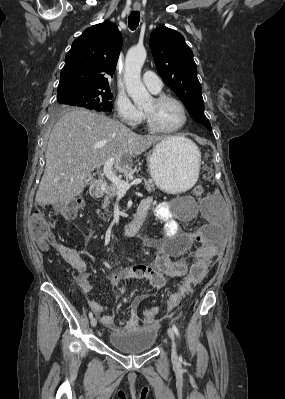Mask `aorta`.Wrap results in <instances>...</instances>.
<instances>
[{"label": "aorta", "mask_w": 285, "mask_h": 399, "mask_svg": "<svg viewBox=\"0 0 285 399\" xmlns=\"http://www.w3.org/2000/svg\"><path fill=\"white\" fill-rule=\"evenodd\" d=\"M144 47L129 49L125 60L124 80L128 95L137 107L143 106L151 99L150 93L141 81V69L146 59Z\"/></svg>", "instance_id": "1"}]
</instances>
